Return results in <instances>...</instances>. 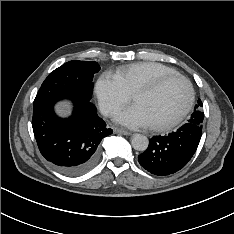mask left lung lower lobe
<instances>
[{
	"label": "left lung lower lobe",
	"instance_id": "obj_1",
	"mask_svg": "<svg viewBox=\"0 0 234 234\" xmlns=\"http://www.w3.org/2000/svg\"><path fill=\"white\" fill-rule=\"evenodd\" d=\"M201 136L202 126L185 123L167 136L153 137L147 150L138 156V161L152 174L159 176L173 174L192 158Z\"/></svg>",
	"mask_w": 234,
	"mask_h": 234
}]
</instances>
